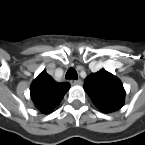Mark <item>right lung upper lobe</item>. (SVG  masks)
<instances>
[{"instance_id":"right-lung-upper-lobe-1","label":"right lung upper lobe","mask_w":145,"mask_h":145,"mask_svg":"<svg viewBox=\"0 0 145 145\" xmlns=\"http://www.w3.org/2000/svg\"><path fill=\"white\" fill-rule=\"evenodd\" d=\"M69 88V83H57L44 70L31 84V98L38 110L47 114L61 102Z\"/></svg>"}]
</instances>
